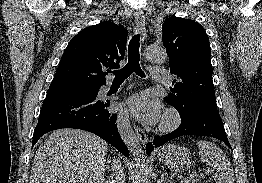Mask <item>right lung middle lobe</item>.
I'll return each mask as SVG.
<instances>
[{
    "label": "right lung middle lobe",
    "mask_w": 262,
    "mask_h": 183,
    "mask_svg": "<svg viewBox=\"0 0 262 183\" xmlns=\"http://www.w3.org/2000/svg\"><path fill=\"white\" fill-rule=\"evenodd\" d=\"M92 92L91 89H78V90H68V91H56V92H48V93H59V94H67V93H90Z\"/></svg>",
    "instance_id": "dd1d6c3e"
}]
</instances>
